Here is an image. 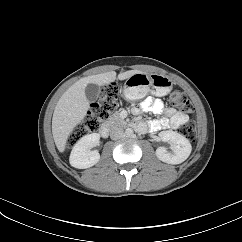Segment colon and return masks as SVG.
Segmentation results:
<instances>
[{"mask_svg":"<svg viewBox=\"0 0 242 242\" xmlns=\"http://www.w3.org/2000/svg\"><path fill=\"white\" fill-rule=\"evenodd\" d=\"M120 95V88L116 83H110L102 90L97 103L92 104L91 109L85 119L70 134L67 145L73 146L84 136L97 132L101 125L109 118L116 109ZM168 104L181 111L192 112L193 107L188 98L179 90L170 93ZM181 133L190 141L196 137L195 125L188 122L181 128Z\"/></svg>","mask_w":242,"mask_h":242,"instance_id":"colon-1","label":"colon"}]
</instances>
